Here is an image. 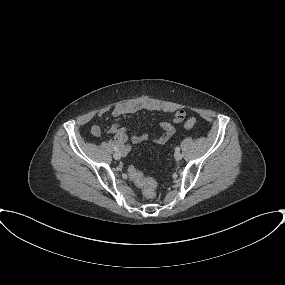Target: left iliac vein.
Masks as SVG:
<instances>
[{"mask_svg":"<svg viewBox=\"0 0 285 285\" xmlns=\"http://www.w3.org/2000/svg\"><path fill=\"white\" fill-rule=\"evenodd\" d=\"M174 157L177 161L181 160L183 155L180 152H175Z\"/></svg>","mask_w":285,"mask_h":285,"instance_id":"1","label":"left iliac vein"}]
</instances>
